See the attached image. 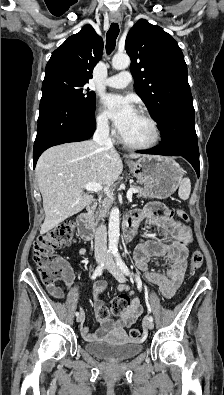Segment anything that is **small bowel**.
Wrapping results in <instances>:
<instances>
[{"label":"small bowel","mask_w":224,"mask_h":395,"mask_svg":"<svg viewBox=\"0 0 224 395\" xmlns=\"http://www.w3.org/2000/svg\"><path fill=\"white\" fill-rule=\"evenodd\" d=\"M140 214V221L146 220L155 225L157 230L164 236H172L173 240L149 239L140 243L134 252V259L138 268L144 273L146 279L157 285L160 294L164 298H171L180 286L186 261L188 258V246L191 242L190 229L183 223L175 220L170 211L158 203L148 204ZM153 260L156 266L167 264L166 274L149 270V263ZM68 288L74 285V274L69 269V276L64 280ZM47 290L56 298L63 297V289L57 284H45ZM103 281L96 283L93 289L94 305L97 319L101 322V329L91 333L86 326L81 327V332L86 340L104 338L109 332L121 331L130 327L141 316L143 308L137 296L129 290L128 285H120V292H129L131 300L125 311L116 319H102L99 315L101 301L99 295L105 290Z\"/></svg>","instance_id":"obj_1"}]
</instances>
